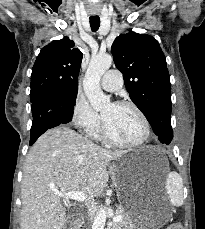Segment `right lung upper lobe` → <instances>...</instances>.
<instances>
[{
	"label": "right lung upper lobe",
	"mask_w": 205,
	"mask_h": 229,
	"mask_svg": "<svg viewBox=\"0 0 205 229\" xmlns=\"http://www.w3.org/2000/svg\"><path fill=\"white\" fill-rule=\"evenodd\" d=\"M68 37L54 40L41 49L31 74L30 99L77 88L83 54Z\"/></svg>",
	"instance_id": "right-lung-upper-lobe-1"
}]
</instances>
